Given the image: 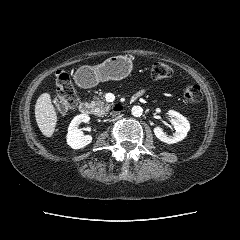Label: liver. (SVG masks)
Segmentation results:
<instances>
[{"label":"liver","mask_w":240,"mask_h":240,"mask_svg":"<svg viewBox=\"0 0 240 240\" xmlns=\"http://www.w3.org/2000/svg\"><path fill=\"white\" fill-rule=\"evenodd\" d=\"M35 118L42 134L52 137L57 124V114L49 93H43L38 97L35 104Z\"/></svg>","instance_id":"obj_1"}]
</instances>
